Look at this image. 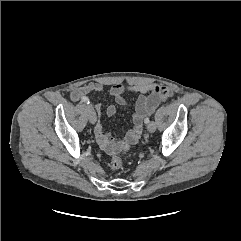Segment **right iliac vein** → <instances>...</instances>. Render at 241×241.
<instances>
[{
	"label": "right iliac vein",
	"mask_w": 241,
	"mask_h": 241,
	"mask_svg": "<svg viewBox=\"0 0 241 241\" xmlns=\"http://www.w3.org/2000/svg\"><path fill=\"white\" fill-rule=\"evenodd\" d=\"M87 114H88L90 123L94 124L96 122V113L92 106L87 107Z\"/></svg>",
	"instance_id": "obj_1"
}]
</instances>
